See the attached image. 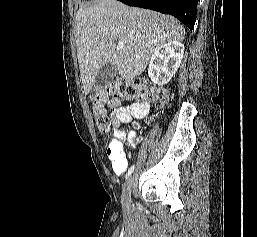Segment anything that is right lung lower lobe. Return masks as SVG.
Returning <instances> with one entry per match:
<instances>
[{
  "label": "right lung lower lobe",
  "mask_w": 257,
  "mask_h": 237,
  "mask_svg": "<svg viewBox=\"0 0 257 237\" xmlns=\"http://www.w3.org/2000/svg\"><path fill=\"white\" fill-rule=\"evenodd\" d=\"M129 6L155 10L175 16L190 31L193 30L199 0H119Z\"/></svg>",
  "instance_id": "right-lung-lower-lobe-1"
}]
</instances>
